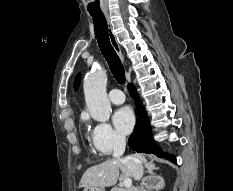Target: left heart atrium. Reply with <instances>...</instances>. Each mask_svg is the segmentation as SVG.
<instances>
[{
    "instance_id": "left-heart-atrium-1",
    "label": "left heart atrium",
    "mask_w": 233,
    "mask_h": 191,
    "mask_svg": "<svg viewBox=\"0 0 233 191\" xmlns=\"http://www.w3.org/2000/svg\"><path fill=\"white\" fill-rule=\"evenodd\" d=\"M113 123L121 134L130 133L135 124L132 110L127 106L119 108L113 115Z\"/></svg>"
}]
</instances>
